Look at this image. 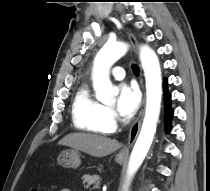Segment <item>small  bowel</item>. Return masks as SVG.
I'll list each match as a JSON object with an SVG mask.
<instances>
[{
	"label": "small bowel",
	"mask_w": 210,
	"mask_h": 191,
	"mask_svg": "<svg viewBox=\"0 0 210 191\" xmlns=\"http://www.w3.org/2000/svg\"><path fill=\"white\" fill-rule=\"evenodd\" d=\"M60 191H71L70 189H61Z\"/></svg>",
	"instance_id": "small-bowel-1"
}]
</instances>
